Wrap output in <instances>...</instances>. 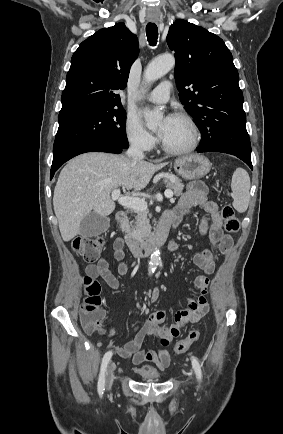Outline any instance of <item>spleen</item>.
I'll return each mask as SVG.
<instances>
[{"instance_id": "spleen-1", "label": "spleen", "mask_w": 283, "mask_h": 434, "mask_svg": "<svg viewBox=\"0 0 283 434\" xmlns=\"http://www.w3.org/2000/svg\"><path fill=\"white\" fill-rule=\"evenodd\" d=\"M233 207L238 212H245L250 200V178L246 170L238 168L232 176L231 182Z\"/></svg>"}]
</instances>
